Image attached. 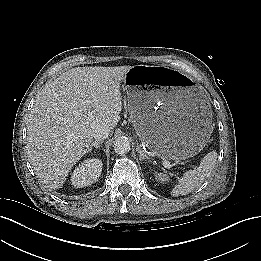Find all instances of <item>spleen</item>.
<instances>
[{
    "label": "spleen",
    "instance_id": "spleen-1",
    "mask_svg": "<svg viewBox=\"0 0 261 261\" xmlns=\"http://www.w3.org/2000/svg\"><path fill=\"white\" fill-rule=\"evenodd\" d=\"M217 162V152L211 151L204 156L199 167L189 170L178 180L171 191L172 196L186 195L198 188L211 174Z\"/></svg>",
    "mask_w": 261,
    "mask_h": 261
}]
</instances>
